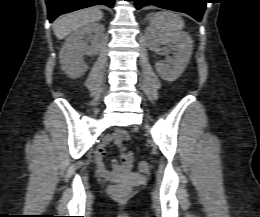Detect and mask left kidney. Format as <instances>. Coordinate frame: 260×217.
<instances>
[{
	"instance_id": "left-kidney-1",
	"label": "left kidney",
	"mask_w": 260,
	"mask_h": 217,
	"mask_svg": "<svg viewBox=\"0 0 260 217\" xmlns=\"http://www.w3.org/2000/svg\"><path fill=\"white\" fill-rule=\"evenodd\" d=\"M161 43L169 47V50L173 52V57H167L166 61L156 63V71L162 79L175 81L184 72L190 61V39L186 35L151 30L148 35V47L156 50Z\"/></svg>"
}]
</instances>
